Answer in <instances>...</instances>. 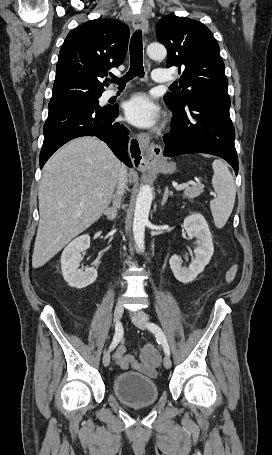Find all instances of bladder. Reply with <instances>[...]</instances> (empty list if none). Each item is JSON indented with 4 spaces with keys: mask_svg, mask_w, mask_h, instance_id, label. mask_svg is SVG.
<instances>
[{
    "mask_svg": "<svg viewBox=\"0 0 272 455\" xmlns=\"http://www.w3.org/2000/svg\"><path fill=\"white\" fill-rule=\"evenodd\" d=\"M115 396L125 405L142 407L154 404L159 396L157 383L141 373L128 371L113 381Z\"/></svg>",
    "mask_w": 272,
    "mask_h": 455,
    "instance_id": "bladder-1",
    "label": "bladder"
}]
</instances>
